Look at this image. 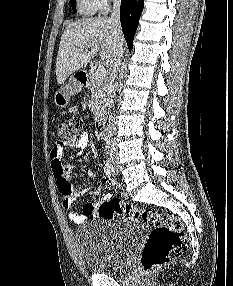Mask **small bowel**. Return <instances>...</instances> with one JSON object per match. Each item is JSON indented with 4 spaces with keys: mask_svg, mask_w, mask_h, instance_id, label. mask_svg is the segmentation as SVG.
I'll list each match as a JSON object with an SVG mask.
<instances>
[{
    "mask_svg": "<svg viewBox=\"0 0 233 286\" xmlns=\"http://www.w3.org/2000/svg\"><path fill=\"white\" fill-rule=\"evenodd\" d=\"M67 144L68 143L66 142L57 141L52 147L50 151L51 170L56 182L57 189L62 196V206L64 210L68 213L69 218L74 223L82 224L95 216L97 203L91 202L85 204L82 213H77L70 210L73 202L84 195L87 189L77 188L72 185L70 181L67 165L63 160L64 150ZM71 144L76 147L80 153L84 152L89 145L88 134L83 133L76 142ZM104 182L110 186L114 185V181L110 178H105ZM106 198H108V196H106Z\"/></svg>",
    "mask_w": 233,
    "mask_h": 286,
    "instance_id": "small-bowel-1",
    "label": "small bowel"
}]
</instances>
